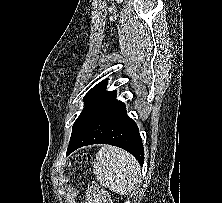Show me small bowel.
Returning <instances> with one entry per match:
<instances>
[{"mask_svg":"<svg viewBox=\"0 0 222 203\" xmlns=\"http://www.w3.org/2000/svg\"><path fill=\"white\" fill-rule=\"evenodd\" d=\"M89 198L96 200L97 203H109L108 196L98 188H93L89 192Z\"/></svg>","mask_w":222,"mask_h":203,"instance_id":"1","label":"small bowel"}]
</instances>
